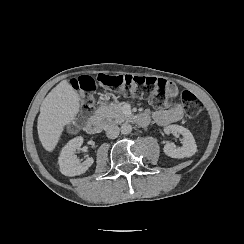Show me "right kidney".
<instances>
[{"instance_id":"obj_1","label":"right kidney","mask_w":244,"mask_h":244,"mask_svg":"<svg viewBox=\"0 0 244 244\" xmlns=\"http://www.w3.org/2000/svg\"><path fill=\"white\" fill-rule=\"evenodd\" d=\"M83 144L82 137H76L69 141L68 144L62 149L59 157L60 172L64 176H79L87 172V170L93 165L94 158L90 157L85 162L78 165V158L73 157L76 150L80 149Z\"/></svg>"}]
</instances>
